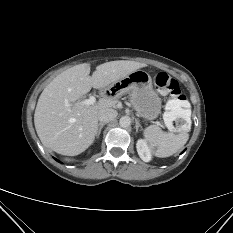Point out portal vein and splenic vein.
Masks as SVG:
<instances>
[{"instance_id":"obj_1","label":"portal vein and splenic vein","mask_w":233,"mask_h":233,"mask_svg":"<svg viewBox=\"0 0 233 233\" xmlns=\"http://www.w3.org/2000/svg\"><path fill=\"white\" fill-rule=\"evenodd\" d=\"M95 103H96V98L94 96H90L88 99L82 101V104L87 106L93 105Z\"/></svg>"}]
</instances>
